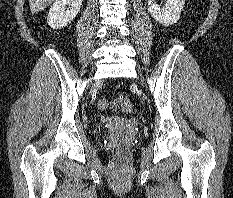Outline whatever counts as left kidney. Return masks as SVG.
Listing matches in <instances>:
<instances>
[{
    "mask_svg": "<svg viewBox=\"0 0 233 198\" xmlns=\"http://www.w3.org/2000/svg\"><path fill=\"white\" fill-rule=\"evenodd\" d=\"M184 2L185 0H167L160 6L154 0H148V10L157 22L170 26L179 20Z\"/></svg>",
    "mask_w": 233,
    "mask_h": 198,
    "instance_id": "1",
    "label": "left kidney"
}]
</instances>
